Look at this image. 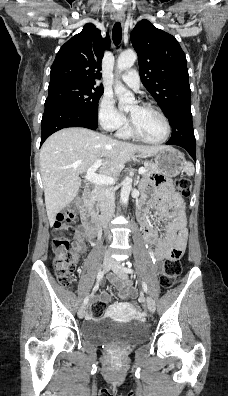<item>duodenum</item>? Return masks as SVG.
<instances>
[{
  "label": "duodenum",
  "instance_id": "410a0bca",
  "mask_svg": "<svg viewBox=\"0 0 228 396\" xmlns=\"http://www.w3.org/2000/svg\"><path fill=\"white\" fill-rule=\"evenodd\" d=\"M82 224L84 228L93 233L94 235L99 233L102 227L100 217L95 213L93 209V202L91 196V188L85 190L83 203L80 207Z\"/></svg>",
  "mask_w": 228,
  "mask_h": 396
}]
</instances>
